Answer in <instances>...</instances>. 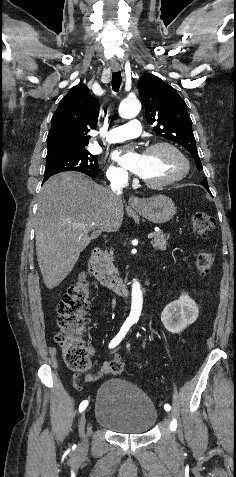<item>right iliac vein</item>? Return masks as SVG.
Masks as SVG:
<instances>
[{
	"instance_id": "1",
	"label": "right iliac vein",
	"mask_w": 236,
	"mask_h": 477,
	"mask_svg": "<svg viewBox=\"0 0 236 477\" xmlns=\"http://www.w3.org/2000/svg\"><path fill=\"white\" fill-rule=\"evenodd\" d=\"M86 412L83 413V415L80 417V421H79V433H80V436L82 438V442L80 443L79 445V449L81 451H85L87 450L88 448V441H87V438L85 436V433H84V425H85V417L88 416V413H87V409L85 410Z\"/></svg>"
}]
</instances>
